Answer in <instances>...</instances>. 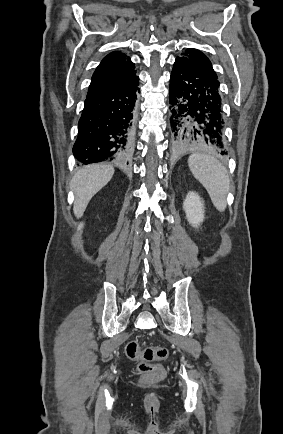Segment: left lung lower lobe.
<instances>
[{"label":"left lung lower lobe","instance_id":"1","mask_svg":"<svg viewBox=\"0 0 283 434\" xmlns=\"http://www.w3.org/2000/svg\"><path fill=\"white\" fill-rule=\"evenodd\" d=\"M220 82L216 76L176 58L170 77V124L174 145L225 155Z\"/></svg>","mask_w":283,"mask_h":434}]
</instances>
